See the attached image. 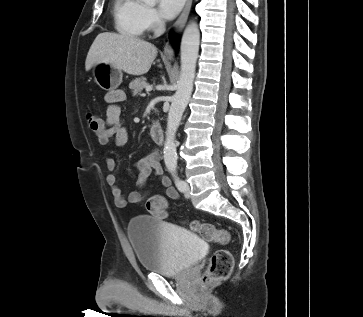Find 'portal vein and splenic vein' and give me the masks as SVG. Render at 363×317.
<instances>
[{
  "instance_id": "portal-vein-and-splenic-vein-1",
  "label": "portal vein and splenic vein",
  "mask_w": 363,
  "mask_h": 317,
  "mask_svg": "<svg viewBox=\"0 0 363 317\" xmlns=\"http://www.w3.org/2000/svg\"><path fill=\"white\" fill-rule=\"evenodd\" d=\"M152 90V87L151 86H147L146 87V92H149V91H151Z\"/></svg>"
}]
</instances>
